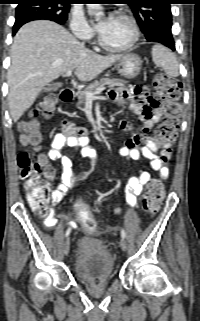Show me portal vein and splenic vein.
Returning <instances> with one entry per match:
<instances>
[{"instance_id": "portal-vein-and-splenic-vein-1", "label": "portal vein and splenic vein", "mask_w": 200, "mask_h": 321, "mask_svg": "<svg viewBox=\"0 0 200 321\" xmlns=\"http://www.w3.org/2000/svg\"><path fill=\"white\" fill-rule=\"evenodd\" d=\"M72 74V70H68L66 71V75L67 76H70ZM105 88H100L99 90H97L96 92L92 93V92H86L85 95H86V99L88 100H93L95 98V95L97 94H100L102 91H104Z\"/></svg>"}]
</instances>
